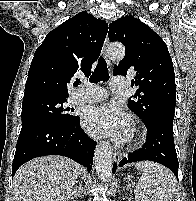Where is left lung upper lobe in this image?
<instances>
[{
  "label": "left lung upper lobe",
  "instance_id": "left-lung-upper-lobe-1",
  "mask_svg": "<svg viewBox=\"0 0 196 201\" xmlns=\"http://www.w3.org/2000/svg\"><path fill=\"white\" fill-rule=\"evenodd\" d=\"M109 40L125 46V57L114 69V75L126 76L135 71L132 87L136 93L128 107L147 126L157 120L172 121L176 105L173 63L168 48L148 25L131 15L123 16L109 25Z\"/></svg>",
  "mask_w": 196,
  "mask_h": 201
}]
</instances>
